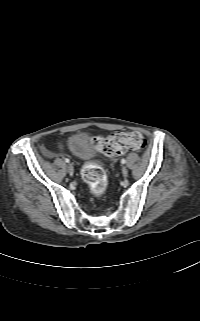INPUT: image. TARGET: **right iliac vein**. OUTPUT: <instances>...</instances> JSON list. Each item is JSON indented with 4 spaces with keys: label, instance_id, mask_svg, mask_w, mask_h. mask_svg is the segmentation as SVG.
Here are the masks:
<instances>
[{
    "label": "right iliac vein",
    "instance_id": "right-iliac-vein-1",
    "mask_svg": "<svg viewBox=\"0 0 200 321\" xmlns=\"http://www.w3.org/2000/svg\"><path fill=\"white\" fill-rule=\"evenodd\" d=\"M68 172L70 175H73L74 173V167L72 166V164H68L67 166Z\"/></svg>",
    "mask_w": 200,
    "mask_h": 321
}]
</instances>
